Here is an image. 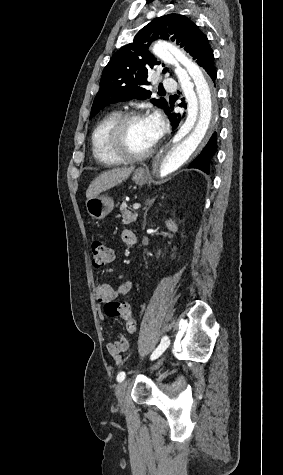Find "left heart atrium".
I'll return each mask as SVG.
<instances>
[{
    "mask_svg": "<svg viewBox=\"0 0 283 475\" xmlns=\"http://www.w3.org/2000/svg\"><path fill=\"white\" fill-rule=\"evenodd\" d=\"M149 122L151 124L152 129H153L152 135H153L154 139L157 141L163 135L164 120H163L161 114L158 111H155L149 117Z\"/></svg>",
    "mask_w": 283,
    "mask_h": 475,
    "instance_id": "obj_1",
    "label": "left heart atrium"
}]
</instances>
